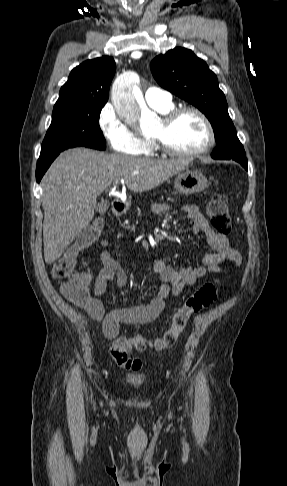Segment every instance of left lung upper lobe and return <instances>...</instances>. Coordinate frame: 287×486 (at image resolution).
Returning <instances> with one entry per match:
<instances>
[{"mask_svg":"<svg viewBox=\"0 0 287 486\" xmlns=\"http://www.w3.org/2000/svg\"><path fill=\"white\" fill-rule=\"evenodd\" d=\"M151 71L160 86L196 106L209 119L218 144L212 158L247 159L228 114L225 95L205 61L191 50L177 47L154 58Z\"/></svg>","mask_w":287,"mask_h":486,"instance_id":"left-lung-upper-lobe-1","label":"left lung upper lobe"}]
</instances>
